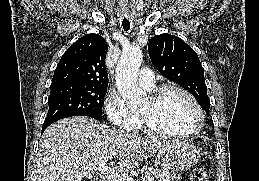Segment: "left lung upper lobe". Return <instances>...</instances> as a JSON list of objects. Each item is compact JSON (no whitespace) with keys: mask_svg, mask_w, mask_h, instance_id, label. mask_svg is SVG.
<instances>
[{"mask_svg":"<svg viewBox=\"0 0 259 181\" xmlns=\"http://www.w3.org/2000/svg\"><path fill=\"white\" fill-rule=\"evenodd\" d=\"M148 53L157 70L167 79L187 89L209 114L204 69L196 52L182 39L161 34L150 39Z\"/></svg>","mask_w":259,"mask_h":181,"instance_id":"left-lung-upper-lobe-1","label":"left lung upper lobe"}]
</instances>
